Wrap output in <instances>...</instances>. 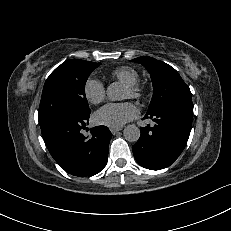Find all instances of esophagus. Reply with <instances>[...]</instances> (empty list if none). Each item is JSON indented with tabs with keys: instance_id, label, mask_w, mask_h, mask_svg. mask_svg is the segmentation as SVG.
Wrapping results in <instances>:
<instances>
[{
	"instance_id": "esophagus-1",
	"label": "esophagus",
	"mask_w": 231,
	"mask_h": 231,
	"mask_svg": "<svg viewBox=\"0 0 231 231\" xmlns=\"http://www.w3.org/2000/svg\"><path fill=\"white\" fill-rule=\"evenodd\" d=\"M122 130V128H111L110 129V132L113 134V135H115L116 133H118L119 131H121Z\"/></svg>"
}]
</instances>
